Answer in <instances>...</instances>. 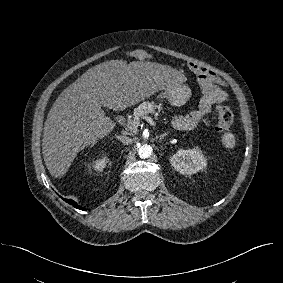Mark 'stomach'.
I'll return each instance as SVG.
<instances>
[{"label": "stomach", "mask_w": 283, "mask_h": 283, "mask_svg": "<svg viewBox=\"0 0 283 283\" xmlns=\"http://www.w3.org/2000/svg\"><path fill=\"white\" fill-rule=\"evenodd\" d=\"M190 96L191 90L189 87L178 83L165 88L157 98L167 100L172 106H182L187 102Z\"/></svg>", "instance_id": "1"}]
</instances>
